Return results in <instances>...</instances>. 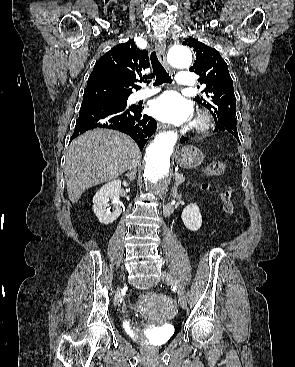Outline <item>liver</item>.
<instances>
[{
	"label": "liver",
	"mask_w": 295,
	"mask_h": 367,
	"mask_svg": "<svg viewBox=\"0 0 295 367\" xmlns=\"http://www.w3.org/2000/svg\"><path fill=\"white\" fill-rule=\"evenodd\" d=\"M138 145L114 130L95 129L79 136L66 154L65 181L72 203L90 187L112 181L137 164Z\"/></svg>",
	"instance_id": "1"
}]
</instances>
